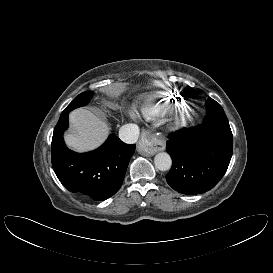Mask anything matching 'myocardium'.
Returning <instances> with one entry per match:
<instances>
[{
    "mask_svg": "<svg viewBox=\"0 0 273 273\" xmlns=\"http://www.w3.org/2000/svg\"><path fill=\"white\" fill-rule=\"evenodd\" d=\"M190 115V110L187 107L180 108L174 112L169 122V128L172 131H179L183 129Z\"/></svg>",
    "mask_w": 273,
    "mask_h": 273,
    "instance_id": "1",
    "label": "myocardium"
}]
</instances>
